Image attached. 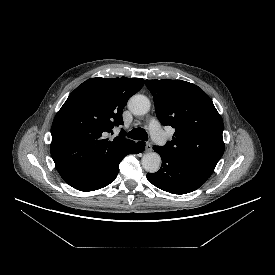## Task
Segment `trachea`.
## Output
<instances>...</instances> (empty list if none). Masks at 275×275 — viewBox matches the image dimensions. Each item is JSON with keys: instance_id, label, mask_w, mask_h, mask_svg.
<instances>
[{"instance_id": "3493384b", "label": "trachea", "mask_w": 275, "mask_h": 275, "mask_svg": "<svg viewBox=\"0 0 275 275\" xmlns=\"http://www.w3.org/2000/svg\"><path fill=\"white\" fill-rule=\"evenodd\" d=\"M127 136L134 140H143V141L148 140L147 132L143 128H134L128 133Z\"/></svg>"}]
</instances>
